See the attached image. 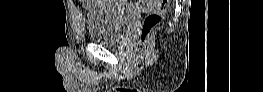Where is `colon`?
<instances>
[{
  "label": "colon",
  "mask_w": 263,
  "mask_h": 92,
  "mask_svg": "<svg viewBox=\"0 0 263 92\" xmlns=\"http://www.w3.org/2000/svg\"><path fill=\"white\" fill-rule=\"evenodd\" d=\"M155 2L157 7L145 16L141 25L140 40L143 44L147 41L152 30L161 22L169 5V0H158Z\"/></svg>",
  "instance_id": "colon-1"
}]
</instances>
